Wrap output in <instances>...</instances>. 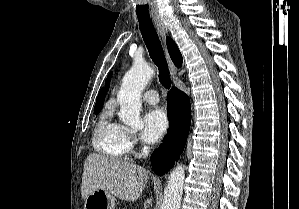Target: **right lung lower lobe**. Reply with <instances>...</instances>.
Wrapping results in <instances>:
<instances>
[{"label": "right lung lower lobe", "mask_w": 299, "mask_h": 209, "mask_svg": "<svg viewBox=\"0 0 299 209\" xmlns=\"http://www.w3.org/2000/svg\"><path fill=\"white\" fill-rule=\"evenodd\" d=\"M167 114L170 122L164 144L152 155V168L158 175H163L178 160L182 153L191 123V107L188 96L177 88H172L167 95Z\"/></svg>", "instance_id": "right-lung-lower-lobe-1"}]
</instances>
